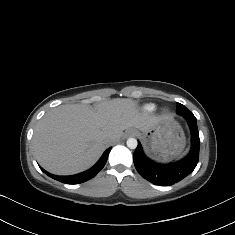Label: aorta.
I'll return each mask as SVG.
<instances>
[{"instance_id":"1","label":"aorta","mask_w":235,"mask_h":235,"mask_svg":"<svg viewBox=\"0 0 235 235\" xmlns=\"http://www.w3.org/2000/svg\"><path fill=\"white\" fill-rule=\"evenodd\" d=\"M127 147L130 149H135L138 145V142L135 138H129L127 139Z\"/></svg>"}]
</instances>
